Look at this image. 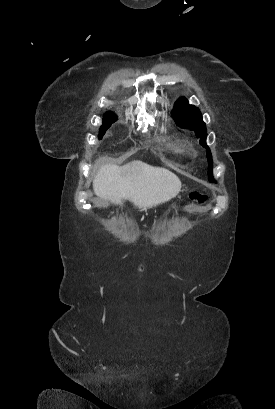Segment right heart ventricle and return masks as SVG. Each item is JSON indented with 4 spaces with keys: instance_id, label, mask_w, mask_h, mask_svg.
<instances>
[{
    "instance_id": "1",
    "label": "right heart ventricle",
    "mask_w": 275,
    "mask_h": 409,
    "mask_svg": "<svg viewBox=\"0 0 275 409\" xmlns=\"http://www.w3.org/2000/svg\"><path fill=\"white\" fill-rule=\"evenodd\" d=\"M160 138L164 140L171 148L180 152L183 149V145L176 139L169 137L167 135H161Z\"/></svg>"
}]
</instances>
